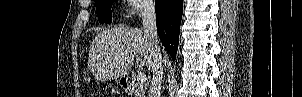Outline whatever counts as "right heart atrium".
I'll list each match as a JSON object with an SVG mask.
<instances>
[{"mask_svg": "<svg viewBox=\"0 0 302 97\" xmlns=\"http://www.w3.org/2000/svg\"><path fill=\"white\" fill-rule=\"evenodd\" d=\"M130 7L127 10L126 17L128 19H136L142 15L147 14L152 10V5L150 2L141 0H130Z\"/></svg>", "mask_w": 302, "mask_h": 97, "instance_id": "obj_1", "label": "right heart atrium"}]
</instances>
